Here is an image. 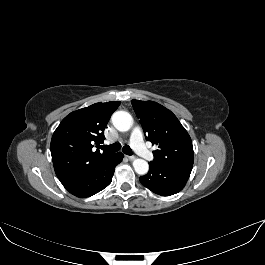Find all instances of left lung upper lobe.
I'll return each mask as SVG.
<instances>
[{"mask_svg":"<svg viewBox=\"0 0 265 265\" xmlns=\"http://www.w3.org/2000/svg\"><path fill=\"white\" fill-rule=\"evenodd\" d=\"M147 140L158 145L152 165L193 166L192 141L177 117L153 101L132 100Z\"/></svg>","mask_w":265,"mask_h":265,"instance_id":"5c2ea615","label":"left lung upper lobe"}]
</instances>
